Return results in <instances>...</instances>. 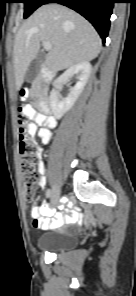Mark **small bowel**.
I'll return each instance as SVG.
<instances>
[{
  "label": "small bowel",
  "mask_w": 136,
  "mask_h": 296,
  "mask_svg": "<svg viewBox=\"0 0 136 296\" xmlns=\"http://www.w3.org/2000/svg\"><path fill=\"white\" fill-rule=\"evenodd\" d=\"M27 116L35 119L40 124H44V116L41 114H38L32 109H29L26 112ZM32 134L36 135L41 139L43 143H48L51 140V129L48 127H42L39 130H36L35 127L32 129ZM43 154V149L40 148L38 151V158H40ZM37 170L39 173V181L38 185L39 187L43 188L45 186V178H44V172H45V166L42 161L38 162L37 164ZM48 210H51L47 204H42L41 206H36L32 209L31 215L33 218V226L36 228H51V229H57L61 230L62 226L64 224H74L78 220V214L74 211H70L68 213H56L54 215V218L52 220H49L48 218H44V216H51L53 214L46 215V212Z\"/></svg>",
  "instance_id": "small-bowel-1"
}]
</instances>
